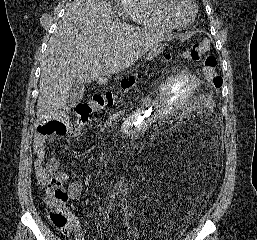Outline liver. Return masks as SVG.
Listing matches in <instances>:
<instances>
[{
  "label": "liver",
  "instance_id": "1",
  "mask_svg": "<svg viewBox=\"0 0 257 240\" xmlns=\"http://www.w3.org/2000/svg\"><path fill=\"white\" fill-rule=\"evenodd\" d=\"M165 37L113 20L104 0H74L50 38L41 66L37 117L58 116L73 80L90 83L132 66Z\"/></svg>",
  "mask_w": 257,
  "mask_h": 240
}]
</instances>
